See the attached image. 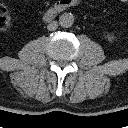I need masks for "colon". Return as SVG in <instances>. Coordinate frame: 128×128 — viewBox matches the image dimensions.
<instances>
[{"instance_id":"colon-1","label":"colon","mask_w":128,"mask_h":128,"mask_svg":"<svg viewBox=\"0 0 128 128\" xmlns=\"http://www.w3.org/2000/svg\"><path fill=\"white\" fill-rule=\"evenodd\" d=\"M12 27V16L8 8L0 4V31H8Z\"/></svg>"}]
</instances>
